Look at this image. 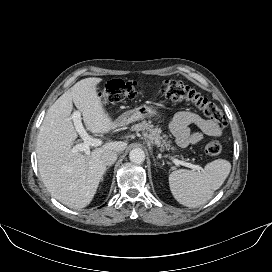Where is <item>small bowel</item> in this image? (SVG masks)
Returning a JSON list of instances; mask_svg holds the SVG:
<instances>
[{
	"label": "small bowel",
	"mask_w": 272,
	"mask_h": 272,
	"mask_svg": "<svg viewBox=\"0 0 272 272\" xmlns=\"http://www.w3.org/2000/svg\"><path fill=\"white\" fill-rule=\"evenodd\" d=\"M195 125L200 131L190 133L189 126ZM170 129L180 147L196 144L200 142L204 136H221V129L211 120L204 119L199 115L181 111L174 115L170 123Z\"/></svg>",
	"instance_id": "obj_1"
}]
</instances>
